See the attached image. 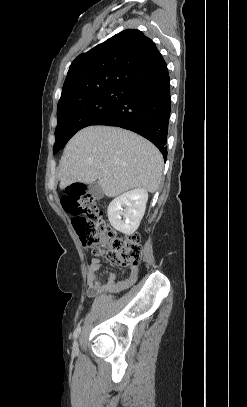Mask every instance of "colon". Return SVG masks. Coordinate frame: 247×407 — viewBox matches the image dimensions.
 <instances>
[{"label": "colon", "instance_id": "obj_1", "mask_svg": "<svg viewBox=\"0 0 247 407\" xmlns=\"http://www.w3.org/2000/svg\"><path fill=\"white\" fill-rule=\"evenodd\" d=\"M63 209L73 216L72 225L86 250L100 252L106 246V259L119 267H133L140 263L142 248L137 233L126 237L115 236L106 228L99 201L83 185H72L62 196Z\"/></svg>", "mask_w": 247, "mask_h": 407}]
</instances>
